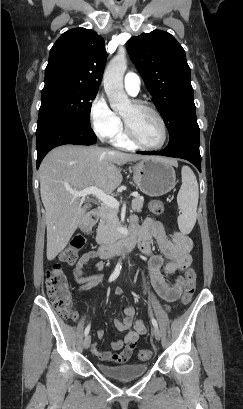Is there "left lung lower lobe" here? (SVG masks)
Listing matches in <instances>:
<instances>
[{
	"label": "left lung lower lobe",
	"instance_id": "1",
	"mask_svg": "<svg viewBox=\"0 0 243 409\" xmlns=\"http://www.w3.org/2000/svg\"><path fill=\"white\" fill-rule=\"evenodd\" d=\"M199 126L196 114L190 113L183 117L177 128L171 134L167 147L162 151L137 152L145 155H163L186 159L201 171V156L199 152Z\"/></svg>",
	"mask_w": 243,
	"mask_h": 409
}]
</instances>
